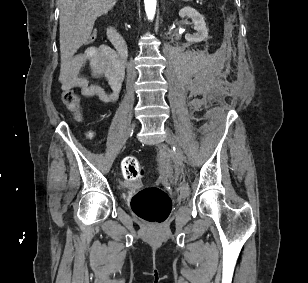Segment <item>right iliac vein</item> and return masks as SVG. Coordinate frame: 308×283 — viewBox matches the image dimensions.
I'll return each instance as SVG.
<instances>
[{
  "mask_svg": "<svg viewBox=\"0 0 308 283\" xmlns=\"http://www.w3.org/2000/svg\"><path fill=\"white\" fill-rule=\"evenodd\" d=\"M134 123L130 126V128H129V130H128V133H127V135H126V138H127V136L129 135V133H130V131H131V129L134 127ZM126 140V139H125ZM125 142V141H124Z\"/></svg>",
  "mask_w": 308,
  "mask_h": 283,
  "instance_id": "1",
  "label": "right iliac vein"
}]
</instances>
